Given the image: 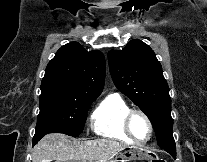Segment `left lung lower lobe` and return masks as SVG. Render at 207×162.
<instances>
[{
    "instance_id": "1",
    "label": "left lung lower lobe",
    "mask_w": 207,
    "mask_h": 162,
    "mask_svg": "<svg viewBox=\"0 0 207 162\" xmlns=\"http://www.w3.org/2000/svg\"><path fill=\"white\" fill-rule=\"evenodd\" d=\"M166 152H168L174 159H176V146L175 144L166 146L163 148Z\"/></svg>"
}]
</instances>
